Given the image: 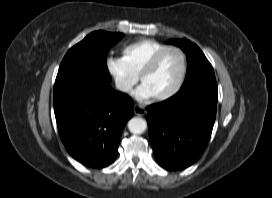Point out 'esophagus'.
<instances>
[{
  "mask_svg": "<svg viewBox=\"0 0 272 198\" xmlns=\"http://www.w3.org/2000/svg\"><path fill=\"white\" fill-rule=\"evenodd\" d=\"M134 113L137 116H144L146 114V110L144 107H142L140 105H135L134 106Z\"/></svg>",
  "mask_w": 272,
  "mask_h": 198,
  "instance_id": "34e87169",
  "label": "esophagus"
}]
</instances>
